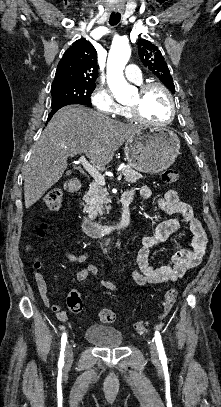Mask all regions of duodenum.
Instances as JSON below:
<instances>
[{"instance_id":"410a0bca","label":"duodenum","mask_w":221,"mask_h":407,"mask_svg":"<svg viewBox=\"0 0 221 407\" xmlns=\"http://www.w3.org/2000/svg\"><path fill=\"white\" fill-rule=\"evenodd\" d=\"M82 189V184L81 183H68V190L70 192H79ZM121 218L118 222L115 224H102L93 221L92 219H89L87 217L83 218L82 225L84 232L89 235V236H103L105 234H108L109 232L112 231H121L128 229L130 225V220H131V214H130V202L131 199L128 195L123 194L121 196Z\"/></svg>"}]
</instances>
